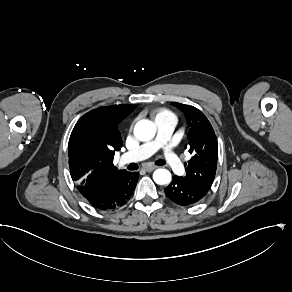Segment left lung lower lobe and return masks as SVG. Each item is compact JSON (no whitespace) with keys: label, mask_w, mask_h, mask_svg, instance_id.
Wrapping results in <instances>:
<instances>
[{"label":"left lung lower lobe","mask_w":292,"mask_h":292,"mask_svg":"<svg viewBox=\"0 0 292 292\" xmlns=\"http://www.w3.org/2000/svg\"><path fill=\"white\" fill-rule=\"evenodd\" d=\"M207 192L185 183L178 176H173L172 182L165 188L166 196L181 206H190L199 202Z\"/></svg>","instance_id":"left-lung-lower-lobe-1"}]
</instances>
